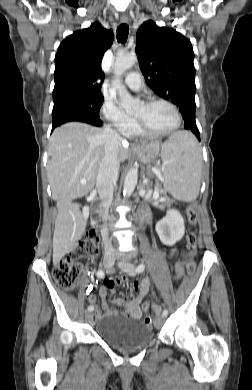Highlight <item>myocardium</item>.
<instances>
[{
	"label": "myocardium",
	"instance_id": "1",
	"mask_svg": "<svg viewBox=\"0 0 252 390\" xmlns=\"http://www.w3.org/2000/svg\"><path fill=\"white\" fill-rule=\"evenodd\" d=\"M157 103H164V104L168 105L173 110L175 117H176V121H175V124L170 129H167L164 131H156V130H153V129L149 128L148 126H146L139 119L135 118L138 131H140L141 133H143L146 136H152V137L167 136V135L174 133L181 126V123H182L181 113H180L178 107L176 106V104H174L170 100L165 99V98H151V99L143 102V104L146 107L152 106V105L157 104Z\"/></svg>",
	"mask_w": 252,
	"mask_h": 390
}]
</instances>
